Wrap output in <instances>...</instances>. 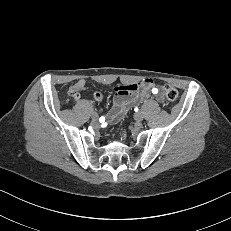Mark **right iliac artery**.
<instances>
[{
	"label": "right iliac artery",
	"instance_id": "right-iliac-artery-1",
	"mask_svg": "<svg viewBox=\"0 0 231 231\" xmlns=\"http://www.w3.org/2000/svg\"><path fill=\"white\" fill-rule=\"evenodd\" d=\"M99 121H100V122H104V121H105V118H104V117H100Z\"/></svg>",
	"mask_w": 231,
	"mask_h": 231
}]
</instances>
